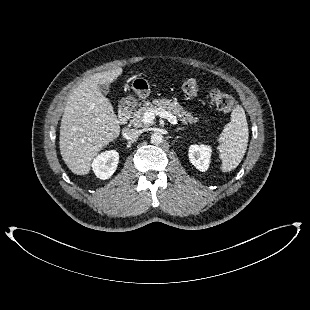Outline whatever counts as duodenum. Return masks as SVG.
Returning <instances> with one entry per match:
<instances>
[{
  "mask_svg": "<svg viewBox=\"0 0 310 310\" xmlns=\"http://www.w3.org/2000/svg\"><path fill=\"white\" fill-rule=\"evenodd\" d=\"M132 110H133V105H132L131 100L126 99L121 102L120 107H119V112H118V118L121 124H125L129 120Z\"/></svg>",
  "mask_w": 310,
  "mask_h": 310,
  "instance_id": "410a0bca",
  "label": "duodenum"
}]
</instances>
